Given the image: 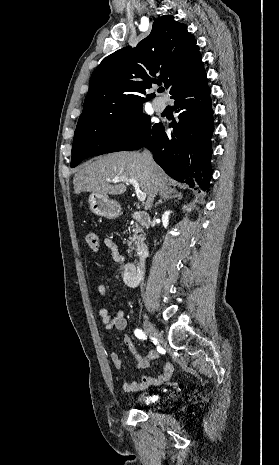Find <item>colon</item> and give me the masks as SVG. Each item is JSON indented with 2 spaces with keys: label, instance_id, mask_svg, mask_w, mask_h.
Returning <instances> with one entry per match:
<instances>
[{
  "label": "colon",
  "instance_id": "obj_1",
  "mask_svg": "<svg viewBox=\"0 0 279 465\" xmlns=\"http://www.w3.org/2000/svg\"><path fill=\"white\" fill-rule=\"evenodd\" d=\"M85 242L92 251H97L100 247V234L97 231H88L85 235Z\"/></svg>",
  "mask_w": 279,
  "mask_h": 465
}]
</instances>
